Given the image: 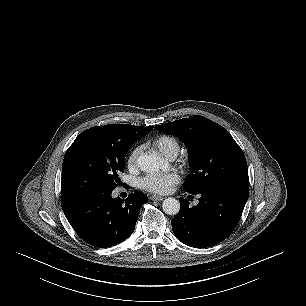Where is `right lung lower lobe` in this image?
Here are the masks:
<instances>
[{
    "instance_id": "1",
    "label": "right lung lower lobe",
    "mask_w": 306,
    "mask_h": 306,
    "mask_svg": "<svg viewBox=\"0 0 306 306\" xmlns=\"http://www.w3.org/2000/svg\"><path fill=\"white\" fill-rule=\"evenodd\" d=\"M112 191L92 193L62 204L75 232L95 247H111L127 239L134 231L141 206L147 197L140 191L123 202L112 198Z\"/></svg>"
}]
</instances>
